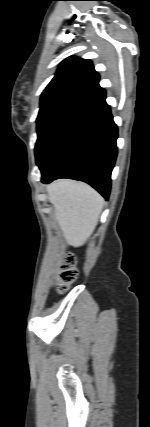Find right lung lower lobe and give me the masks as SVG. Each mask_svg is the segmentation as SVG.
Listing matches in <instances>:
<instances>
[{"label":"right lung lower lobe","instance_id":"1","mask_svg":"<svg viewBox=\"0 0 150 427\" xmlns=\"http://www.w3.org/2000/svg\"><path fill=\"white\" fill-rule=\"evenodd\" d=\"M117 126L105 95L80 110L54 142L40 167L42 182L58 178L84 181L104 198L110 192L117 155Z\"/></svg>","mask_w":150,"mask_h":427}]
</instances>
